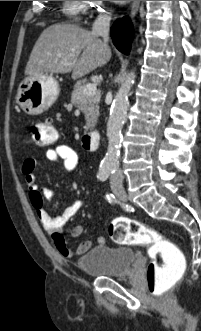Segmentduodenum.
<instances>
[{"instance_id": "obj_1", "label": "duodenum", "mask_w": 201, "mask_h": 331, "mask_svg": "<svg viewBox=\"0 0 201 331\" xmlns=\"http://www.w3.org/2000/svg\"><path fill=\"white\" fill-rule=\"evenodd\" d=\"M100 140V134L97 131L87 132L82 137L83 146L93 151L99 148Z\"/></svg>"}]
</instances>
